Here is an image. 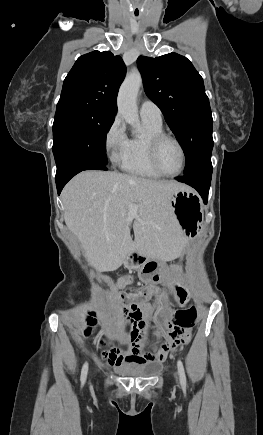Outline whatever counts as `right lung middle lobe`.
<instances>
[{"label": "right lung middle lobe", "instance_id": "1", "mask_svg": "<svg viewBox=\"0 0 263 435\" xmlns=\"http://www.w3.org/2000/svg\"><path fill=\"white\" fill-rule=\"evenodd\" d=\"M114 116L92 106L57 107L52 147L57 168L70 160L107 165L106 135Z\"/></svg>", "mask_w": 263, "mask_h": 435}]
</instances>
